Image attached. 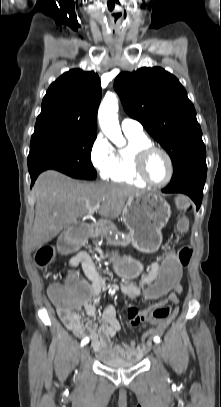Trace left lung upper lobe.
<instances>
[{"label":"left lung upper lobe","mask_w":221,"mask_h":407,"mask_svg":"<svg viewBox=\"0 0 221 407\" xmlns=\"http://www.w3.org/2000/svg\"><path fill=\"white\" fill-rule=\"evenodd\" d=\"M127 114L162 145L173 163V177L206 159L193 104L179 80L160 67L123 72L114 82Z\"/></svg>","instance_id":"1"}]
</instances>
